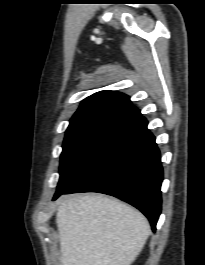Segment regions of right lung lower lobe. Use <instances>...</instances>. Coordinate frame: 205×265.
<instances>
[{"instance_id": "obj_1", "label": "right lung lower lobe", "mask_w": 205, "mask_h": 265, "mask_svg": "<svg viewBox=\"0 0 205 265\" xmlns=\"http://www.w3.org/2000/svg\"><path fill=\"white\" fill-rule=\"evenodd\" d=\"M140 117L130 125L64 190L62 194L99 192L138 208L152 230L161 212L163 169L155 137Z\"/></svg>"}]
</instances>
